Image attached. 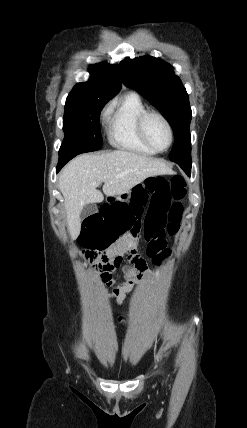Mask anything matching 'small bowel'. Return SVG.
Instances as JSON below:
<instances>
[{"mask_svg":"<svg viewBox=\"0 0 247 428\" xmlns=\"http://www.w3.org/2000/svg\"><path fill=\"white\" fill-rule=\"evenodd\" d=\"M136 246L137 240L128 235L118 240L115 243V246L108 250V255L110 258L122 259V256L126 252L132 251L134 249L136 250ZM146 271V264L140 267H128L125 269V280L123 282L115 283L111 278L107 285L113 286L112 297L114 298L115 304L117 306H120L123 303L126 295L134 288L137 283L144 281Z\"/></svg>","mask_w":247,"mask_h":428,"instance_id":"obj_1","label":"small bowel"}]
</instances>
